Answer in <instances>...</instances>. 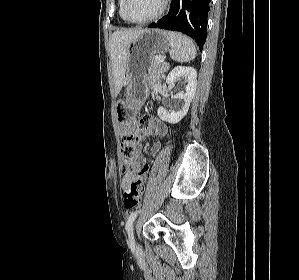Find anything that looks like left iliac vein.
I'll list each match as a JSON object with an SVG mask.
<instances>
[{
  "label": "left iliac vein",
  "instance_id": "obj_1",
  "mask_svg": "<svg viewBox=\"0 0 299 280\" xmlns=\"http://www.w3.org/2000/svg\"><path fill=\"white\" fill-rule=\"evenodd\" d=\"M129 241H130V243L134 244V246L137 248V244L135 242V237H134L133 231L129 232Z\"/></svg>",
  "mask_w": 299,
  "mask_h": 280
}]
</instances>
